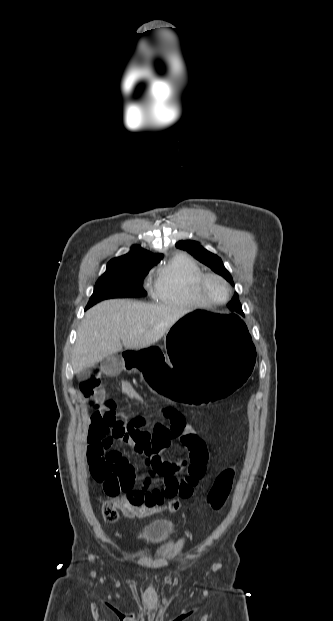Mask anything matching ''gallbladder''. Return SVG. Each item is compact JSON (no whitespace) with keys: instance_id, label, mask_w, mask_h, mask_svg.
<instances>
[{"instance_id":"obj_1","label":"gallbladder","mask_w":333,"mask_h":621,"mask_svg":"<svg viewBox=\"0 0 333 621\" xmlns=\"http://www.w3.org/2000/svg\"><path fill=\"white\" fill-rule=\"evenodd\" d=\"M90 376L88 369H82L77 373V378L80 381L86 380Z\"/></svg>"}]
</instances>
